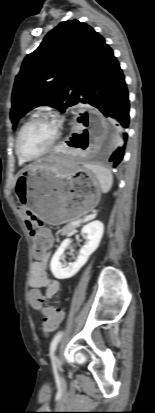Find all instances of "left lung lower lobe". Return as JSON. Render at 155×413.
Segmentation results:
<instances>
[{
    "label": "left lung lower lobe",
    "mask_w": 155,
    "mask_h": 413,
    "mask_svg": "<svg viewBox=\"0 0 155 413\" xmlns=\"http://www.w3.org/2000/svg\"><path fill=\"white\" fill-rule=\"evenodd\" d=\"M80 99L98 108L104 115L115 117L124 128L129 124V99L124 75L119 62L107 46L97 65L85 80ZM124 144L110 157L113 167L122 161L127 141V131L123 132Z\"/></svg>",
    "instance_id": "left-lung-lower-lobe-1"
}]
</instances>
